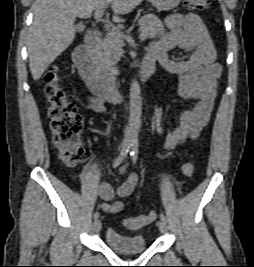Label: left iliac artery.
I'll use <instances>...</instances> for the list:
<instances>
[{"instance_id": "left-iliac-artery-1", "label": "left iliac artery", "mask_w": 254, "mask_h": 267, "mask_svg": "<svg viewBox=\"0 0 254 267\" xmlns=\"http://www.w3.org/2000/svg\"><path fill=\"white\" fill-rule=\"evenodd\" d=\"M138 152H139V148H138V141L134 140L132 142V149L130 152L131 158L133 163H136L137 159H138ZM160 218L162 221L167 222V218L164 214H160Z\"/></svg>"}]
</instances>
